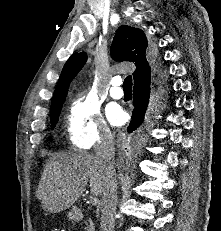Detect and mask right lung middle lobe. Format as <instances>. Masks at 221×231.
I'll use <instances>...</instances> for the list:
<instances>
[{"label": "right lung middle lobe", "mask_w": 221, "mask_h": 231, "mask_svg": "<svg viewBox=\"0 0 221 231\" xmlns=\"http://www.w3.org/2000/svg\"><path fill=\"white\" fill-rule=\"evenodd\" d=\"M63 102L59 103L57 106H55L54 108L51 109L50 120H51V123H52V129L55 127V124L58 121L59 113H60V110L62 108ZM147 120H148V117H147ZM147 120L145 122L143 121L142 125H146L147 124Z\"/></svg>", "instance_id": "dd1d6c3e"}]
</instances>
